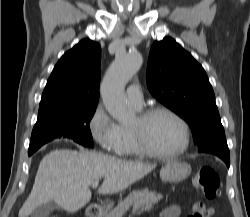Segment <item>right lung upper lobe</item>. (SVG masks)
<instances>
[{
  "label": "right lung upper lobe",
  "mask_w": 250,
  "mask_h": 217,
  "mask_svg": "<svg viewBox=\"0 0 250 217\" xmlns=\"http://www.w3.org/2000/svg\"><path fill=\"white\" fill-rule=\"evenodd\" d=\"M101 47L89 39L80 41L55 65L42 94L39 113L76 106L97 105Z\"/></svg>",
  "instance_id": "right-lung-upper-lobe-1"
}]
</instances>
